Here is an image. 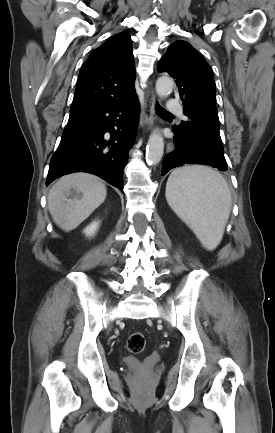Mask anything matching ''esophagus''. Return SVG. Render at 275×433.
<instances>
[{
    "label": "esophagus",
    "mask_w": 275,
    "mask_h": 433,
    "mask_svg": "<svg viewBox=\"0 0 275 433\" xmlns=\"http://www.w3.org/2000/svg\"><path fill=\"white\" fill-rule=\"evenodd\" d=\"M155 104L156 95L152 89L151 82H149L148 87L145 92V102L141 114L142 123L145 127L151 129L155 119Z\"/></svg>",
    "instance_id": "obj_1"
}]
</instances>
